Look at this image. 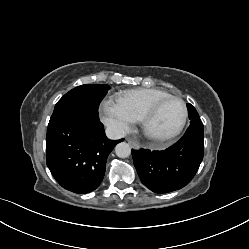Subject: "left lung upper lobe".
<instances>
[{
  "mask_svg": "<svg viewBox=\"0 0 249 249\" xmlns=\"http://www.w3.org/2000/svg\"><path fill=\"white\" fill-rule=\"evenodd\" d=\"M190 126L203 127L202 121L197 113L196 109L191 105L187 104Z\"/></svg>",
  "mask_w": 249,
  "mask_h": 249,
  "instance_id": "obj_1",
  "label": "left lung upper lobe"
}]
</instances>
